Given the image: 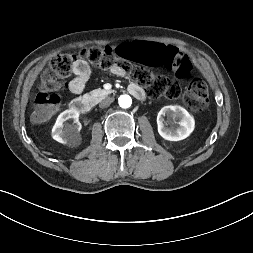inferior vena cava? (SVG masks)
<instances>
[{"label":"inferior vena cava","instance_id":"602c4592","mask_svg":"<svg viewBox=\"0 0 253 253\" xmlns=\"http://www.w3.org/2000/svg\"><path fill=\"white\" fill-rule=\"evenodd\" d=\"M112 102H113L112 98H107V99L100 102L99 107L100 108L108 107Z\"/></svg>","mask_w":253,"mask_h":253}]
</instances>
